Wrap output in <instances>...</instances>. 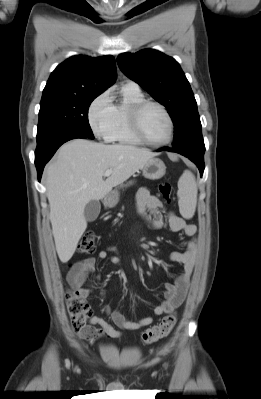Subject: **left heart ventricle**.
<instances>
[{"label": "left heart ventricle", "mask_w": 261, "mask_h": 399, "mask_svg": "<svg viewBox=\"0 0 261 399\" xmlns=\"http://www.w3.org/2000/svg\"><path fill=\"white\" fill-rule=\"evenodd\" d=\"M141 125L145 135L153 141H164L169 136V123L164 113L157 107H147L141 115Z\"/></svg>", "instance_id": "b2bd125f"}]
</instances>
